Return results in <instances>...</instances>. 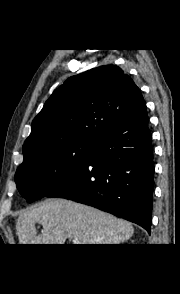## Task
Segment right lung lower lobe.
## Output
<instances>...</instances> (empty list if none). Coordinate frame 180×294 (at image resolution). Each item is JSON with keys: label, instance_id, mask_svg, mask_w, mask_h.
<instances>
[{"label": "right lung lower lobe", "instance_id": "right-lung-lower-lobe-1", "mask_svg": "<svg viewBox=\"0 0 180 294\" xmlns=\"http://www.w3.org/2000/svg\"><path fill=\"white\" fill-rule=\"evenodd\" d=\"M145 102L102 134L84 163L47 197L87 204L150 232L153 147Z\"/></svg>", "mask_w": 180, "mask_h": 294}]
</instances>
